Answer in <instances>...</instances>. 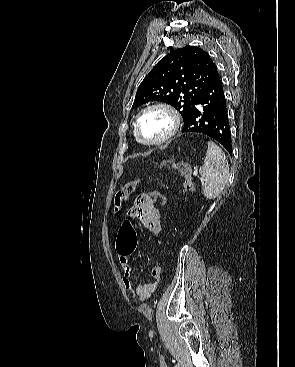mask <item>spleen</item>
Returning a JSON list of instances; mask_svg holds the SVG:
<instances>
[{"label": "spleen", "instance_id": "spleen-1", "mask_svg": "<svg viewBox=\"0 0 295 367\" xmlns=\"http://www.w3.org/2000/svg\"><path fill=\"white\" fill-rule=\"evenodd\" d=\"M199 173L204 177L202 183L204 196L211 200L218 197L229 180V165L223 150L214 142H208V149Z\"/></svg>", "mask_w": 295, "mask_h": 367}]
</instances>
